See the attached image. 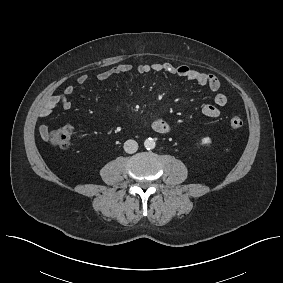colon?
<instances>
[{"label": "colon", "mask_w": 283, "mask_h": 283, "mask_svg": "<svg viewBox=\"0 0 283 283\" xmlns=\"http://www.w3.org/2000/svg\"><path fill=\"white\" fill-rule=\"evenodd\" d=\"M229 125L233 129L241 128L243 126V120L239 116H233L229 119ZM73 135V126L66 124L50 130L46 136L49 144L53 147L66 150L71 146Z\"/></svg>", "instance_id": "colon-1"}]
</instances>
